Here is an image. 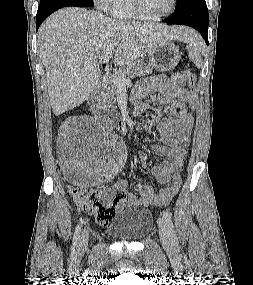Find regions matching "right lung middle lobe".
Instances as JSON below:
<instances>
[{"instance_id":"1","label":"right lung middle lobe","mask_w":253,"mask_h":285,"mask_svg":"<svg viewBox=\"0 0 253 285\" xmlns=\"http://www.w3.org/2000/svg\"><path fill=\"white\" fill-rule=\"evenodd\" d=\"M46 2H57V3H64V4H78L87 7H91L94 5L92 0H40V4Z\"/></svg>"}]
</instances>
